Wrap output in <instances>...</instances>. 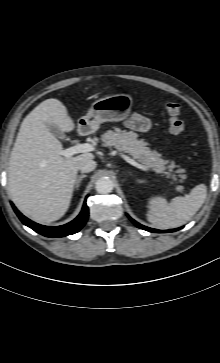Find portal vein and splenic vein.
Listing matches in <instances>:
<instances>
[{"label":"portal vein and splenic vein","instance_id":"1","mask_svg":"<svg viewBox=\"0 0 220 363\" xmlns=\"http://www.w3.org/2000/svg\"><path fill=\"white\" fill-rule=\"evenodd\" d=\"M94 150L93 145L88 144V143H78L75 146L69 147L65 150H61L60 155L68 158V157H72L75 154L78 153H85V152H91ZM122 157L131 165L143 170V171H149L148 167L139 164L138 162L134 161L133 159H131L130 157L126 156V155H122Z\"/></svg>","mask_w":220,"mask_h":363}]
</instances>
